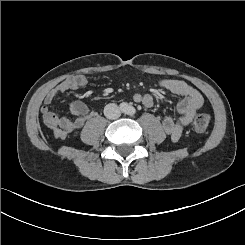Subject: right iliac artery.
<instances>
[{
  "label": "right iliac artery",
  "instance_id": "obj_1",
  "mask_svg": "<svg viewBox=\"0 0 245 245\" xmlns=\"http://www.w3.org/2000/svg\"><path fill=\"white\" fill-rule=\"evenodd\" d=\"M127 104L126 103H122V104H120V109H121V111H123V112H125L126 110H127Z\"/></svg>",
  "mask_w": 245,
  "mask_h": 245
}]
</instances>
